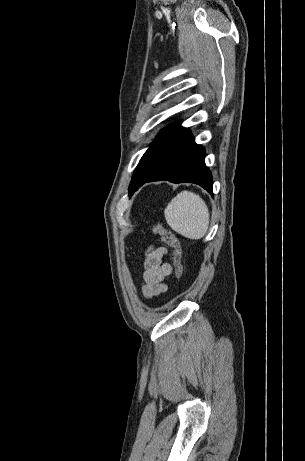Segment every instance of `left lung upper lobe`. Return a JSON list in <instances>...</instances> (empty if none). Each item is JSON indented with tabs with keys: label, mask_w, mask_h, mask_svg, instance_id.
Returning a JSON list of instances; mask_svg holds the SVG:
<instances>
[{
	"label": "left lung upper lobe",
	"mask_w": 305,
	"mask_h": 461,
	"mask_svg": "<svg viewBox=\"0 0 305 461\" xmlns=\"http://www.w3.org/2000/svg\"><path fill=\"white\" fill-rule=\"evenodd\" d=\"M152 163V152H151V147L144 153L142 156L138 166L136 167V170L132 176V180L129 186V193H131L132 189L136 185V183L145 176V174L148 172L150 169Z\"/></svg>",
	"instance_id": "1"
}]
</instances>
